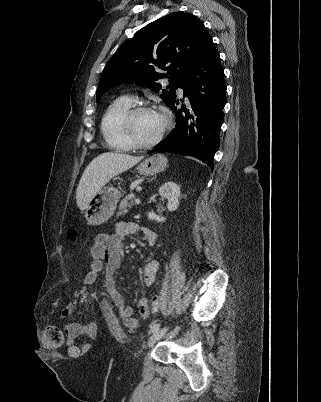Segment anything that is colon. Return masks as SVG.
<instances>
[{
  "mask_svg": "<svg viewBox=\"0 0 321 402\" xmlns=\"http://www.w3.org/2000/svg\"><path fill=\"white\" fill-rule=\"evenodd\" d=\"M70 239L74 242L76 240V232L74 230L69 233ZM82 280V277H79ZM161 308V301L155 297L152 299L150 304V310L153 312L159 311ZM143 314L147 311L145 309H140ZM149 311V309H148ZM64 344V335L61 329L54 324H48L44 327L42 334V346L47 350H57L61 348Z\"/></svg>",
  "mask_w": 321,
  "mask_h": 402,
  "instance_id": "1",
  "label": "colon"
}]
</instances>
